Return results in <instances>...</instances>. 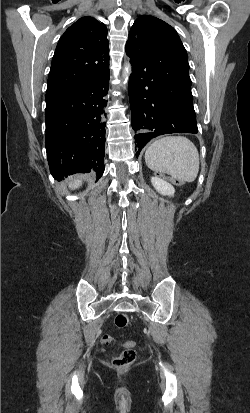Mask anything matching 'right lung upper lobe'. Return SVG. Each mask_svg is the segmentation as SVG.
Here are the masks:
<instances>
[{
  "mask_svg": "<svg viewBox=\"0 0 250 413\" xmlns=\"http://www.w3.org/2000/svg\"><path fill=\"white\" fill-rule=\"evenodd\" d=\"M107 28L87 16L70 26L59 39L48 76L46 93L93 81L109 70Z\"/></svg>",
  "mask_w": 250,
  "mask_h": 413,
  "instance_id": "1",
  "label": "right lung upper lobe"
}]
</instances>
